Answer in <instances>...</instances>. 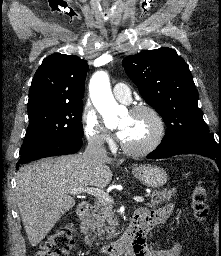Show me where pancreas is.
<instances>
[{"mask_svg":"<svg viewBox=\"0 0 221 256\" xmlns=\"http://www.w3.org/2000/svg\"><path fill=\"white\" fill-rule=\"evenodd\" d=\"M175 189L153 191L150 195L151 200L147 203L148 207L155 208L162 203H168L175 195ZM116 219L114 218L112 203L98 200L91 207V215L88 221V227L101 240L113 238L115 233Z\"/></svg>","mask_w":221,"mask_h":256,"instance_id":"cf45deb5","label":"pancreas"}]
</instances>
